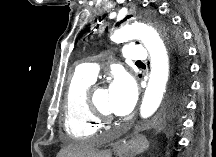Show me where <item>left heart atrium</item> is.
Segmentation results:
<instances>
[{"label": "left heart atrium", "mask_w": 216, "mask_h": 157, "mask_svg": "<svg viewBox=\"0 0 216 157\" xmlns=\"http://www.w3.org/2000/svg\"><path fill=\"white\" fill-rule=\"evenodd\" d=\"M107 90L108 108L111 113L124 116L132 111L137 100V89L126 73H116Z\"/></svg>", "instance_id": "39dd6f15"}]
</instances>
